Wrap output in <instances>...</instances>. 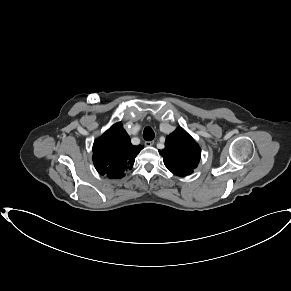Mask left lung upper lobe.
<instances>
[{
    "instance_id": "left-lung-upper-lobe-1",
    "label": "left lung upper lobe",
    "mask_w": 291,
    "mask_h": 291,
    "mask_svg": "<svg viewBox=\"0 0 291 291\" xmlns=\"http://www.w3.org/2000/svg\"><path fill=\"white\" fill-rule=\"evenodd\" d=\"M165 166L175 175L185 177L197 167L201 150L194 139L181 127L166 138L165 149L159 150Z\"/></svg>"
}]
</instances>
